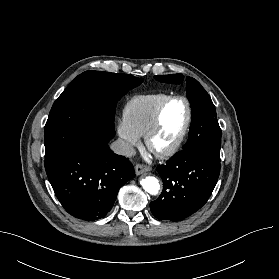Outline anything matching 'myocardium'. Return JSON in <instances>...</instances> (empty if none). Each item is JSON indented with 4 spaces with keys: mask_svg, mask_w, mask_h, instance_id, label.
<instances>
[{
    "mask_svg": "<svg viewBox=\"0 0 279 279\" xmlns=\"http://www.w3.org/2000/svg\"><path fill=\"white\" fill-rule=\"evenodd\" d=\"M175 100H182L186 104L187 118H186L185 124H184L180 134L168 147H166L165 149H163L161 151H154L151 147V141L161 126L162 116H163V113H164L166 107L168 106L169 103H171L172 101H175ZM192 116H193L192 106H191L189 99L186 96L173 95V96L168 97L165 101L162 102V104L157 109L154 119H153L150 127L148 128V130L145 133L144 140H145L146 147L151 152H153L156 156H158L160 158H166V157L172 156L174 153L177 152V150L182 145L185 137L187 136V133L189 131V128H190V125L192 122Z\"/></svg>",
    "mask_w": 279,
    "mask_h": 279,
    "instance_id": "myocardium-1",
    "label": "myocardium"
}]
</instances>
